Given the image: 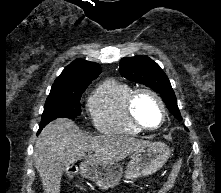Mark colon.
Returning a JSON list of instances; mask_svg holds the SVG:
<instances>
[{"instance_id":"5ec220e1","label":"colon","mask_w":221,"mask_h":193,"mask_svg":"<svg viewBox=\"0 0 221 193\" xmlns=\"http://www.w3.org/2000/svg\"><path fill=\"white\" fill-rule=\"evenodd\" d=\"M181 166H182V161L178 160L174 164L167 181L159 189L158 193H160V191H164V193H168L174 187L176 179L180 173Z\"/></svg>"}]
</instances>
